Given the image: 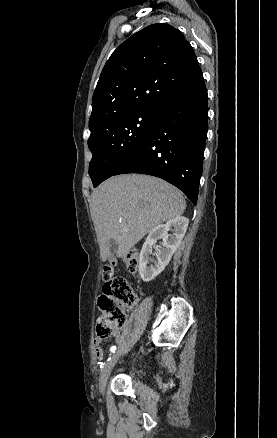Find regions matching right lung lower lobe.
Wrapping results in <instances>:
<instances>
[{"instance_id": "right-lung-lower-lobe-1", "label": "right lung lower lobe", "mask_w": 277, "mask_h": 438, "mask_svg": "<svg viewBox=\"0 0 277 438\" xmlns=\"http://www.w3.org/2000/svg\"><path fill=\"white\" fill-rule=\"evenodd\" d=\"M170 67L167 65L164 71ZM207 101L203 77L164 99L141 145L113 175L160 177L196 204L207 136Z\"/></svg>"}]
</instances>
